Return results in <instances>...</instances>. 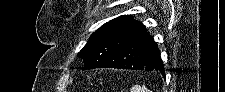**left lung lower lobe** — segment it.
Segmentation results:
<instances>
[{"label": "left lung lower lobe", "instance_id": "1", "mask_svg": "<svg viewBox=\"0 0 225 92\" xmlns=\"http://www.w3.org/2000/svg\"><path fill=\"white\" fill-rule=\"evenodd\" d=\"M98 67L160 71L165 78L158 45L146 29L100 63Z\"/></svg>", "mask_w": 225, "mask_h": 92}]
</instances>
